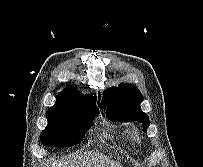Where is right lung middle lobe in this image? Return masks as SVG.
Instances as JSON below:
<instances>
[{
  "label": "right lung middle lobe",
  "mask_w": 203,
  "mask_h": 167,
  "mask_svg": "<svg viewBox=\"0 0 203 167\" xmlns=\"http://www.w3.org/2000/svg\"><path fill=\"white\" fill-rule=\"evenodd\" d=\"M98 108L94 102L47 111L48 124L41 133V142L50 147H70L78 144L92 126Z\"/></svg>",
  "instance_id": "1"
}]
</instances>
